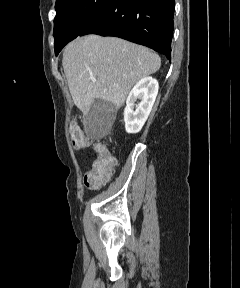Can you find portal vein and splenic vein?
<instances>
[{
    "label": "portal vein and splenic vein",
    "instance_id": "portal-vein-and-splenic-vein-1",
    "mask_svg": "<svg viewBox=\"0 0 240 288\" xmlns=\"http://www.w3.org/2000/svg\"><path fill=\"white\" fill-rule=\"evenodd\" d=\"M96 80H97L96 78H92V81H93V82H96Z\"/></svg>",
    "mask_w": 240,
    "mask_h": 288
}]
</instances>
